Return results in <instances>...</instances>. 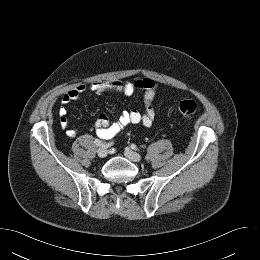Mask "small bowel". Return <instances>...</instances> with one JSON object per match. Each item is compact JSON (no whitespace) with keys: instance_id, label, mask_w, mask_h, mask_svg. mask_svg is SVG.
Returning a JSON list of instances; mask_svg holds the SVG:
<instances>
[{"instance_id":"c3829d8e","label":"small bowel","mask_w":260,"mask_h":260,"mask_svg":"<svg viewBox=\"0 0 260 260\" xmlns=\"http://www.w3.org/2000/svg\"><path fill=\"white\" fill-rule=\"evenodd\" d=\"M91 90L95 93H103L115 91L125 96H131L136 91H143L144 111L137 110L124 111L116 121H110L104 114H100L95 120V127L99 137L111 138L125 128L134 124H141L150 127L157 116L160 106L163 102V96L159 98L156 104H153L159 93V85L152 78H142L135 81H123L120 79H109L103 81H94L90 84H78L73 89L66 92L61 98V106L58 110L60 116V124L63 128H68L67 109L66 106L76 101L80 96ZM67 133L70 137H75L77 131L68 129Z\"/></svg>"}]
</instances>
